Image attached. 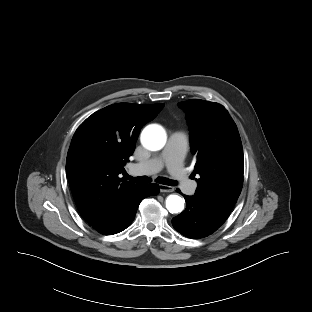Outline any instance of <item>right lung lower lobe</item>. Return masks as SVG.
Masks as SVG:
<instances>
[{
	"mask_svg": "<svg viewBox=\"0 0 312 312\" xmlns=\"http://www.w3.org/2000/svg\"><path fill=\"white\" fill-rule=\"evenodd\" d=\"M159 186L157 184L139 185L128 198L120 212L107 224L96 228L104 235L116 234L126 229L134 220L140 202L152 195H157Z\"/></svg>",
	"mask_w": 312,
	"mask_h": 312,
	"instance_id": "obj_1",
	"label": "right lung lower lobe"
}]
</instances>
